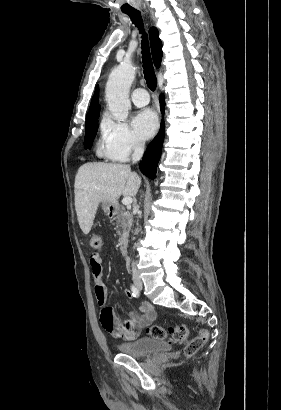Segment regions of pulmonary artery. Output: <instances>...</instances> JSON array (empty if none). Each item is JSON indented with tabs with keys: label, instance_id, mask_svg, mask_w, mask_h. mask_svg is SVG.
Returning a JSON list of instances; mask_svg holds the SVG:
<instances>
[{
	"label": "pulmonary artery",
	"instance_id": "pulmonary-artery-1",
	"mask_svg": "<svg viewBox=\"0 0 281 410\" xmlns=\"http://www.w3.org/2000/svg\"><path fill=\"white\" fill-rule=\"evenodd\" d=\"M131 99L132 102L138 107L145 106L150 101L147 91L143 88L135 89L131 94Z\"/></svg>",
	"mask_w": 281,
	"mask_h": 410
}]
</instances>
